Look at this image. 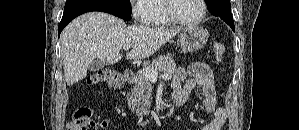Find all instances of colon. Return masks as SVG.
I'll return each mask as SVG.
<instances>
[{
    "label": "colon",
    "instance_id": "colon-1",
    "mask_svg": "<svg viewBox=\"0 0 299 130\" xmlns=\"http://www.w3.org/2000/svg\"><path fill=\"white\" fill-rule=\"evenodd\" d=\"M216 59H221L225 54V46L221 43L212 45ZM124 82V76L117 70L107 69L99 71L88 78L90 85L105 84L112 88H119ZM97 123L92 119V111L88 107L78 108L73 115L69 130H97Z\"/></svg>",
    "mask_w": 299,
    "mask_h": 130
}]
</instances>
